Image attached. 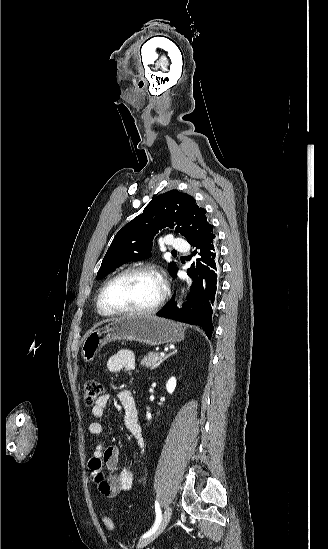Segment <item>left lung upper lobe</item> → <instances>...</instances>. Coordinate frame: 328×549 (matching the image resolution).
Wrapping results in <instances>:
<instances>
[{"label":"left lung upper lobe","instance_id":"5c2ea615","mask_svg":"<svg viewBox=\"0 0 328 549\" xmlns=\"http://www.w3.org/2000/svg\"><path fill=\"white\" fill-rule=\"evenodd\" d=\"M166 227L175 229L193 247L214 235L205 209L200 208L192 196L177 190L168 191L154 198L142 214L119 230L104 256L97 279L129 261L147 258L154 236ZM169 272L175 276L177 266L174 262L169 264Z\"/></svg>","mask_w":328,"mask_h":549}]
</instances>
